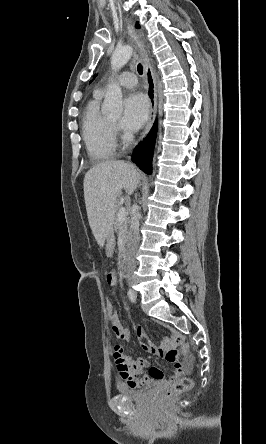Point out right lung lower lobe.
<instances>
[{"mask_svg": "<svg viewBox=\"0 0 266 444\" xmlns=\"http://www.w3.org/2000/svg\"><path fill=\"white\" fill-rule=\"evenodd\" d=\"M156 132L157 122L154 123L150 133L144 139L143 143H140L133 153V162H135L142 171L148 174L151 173V162Z\"/></svg>", "mask_w": 266, "mask_h": 444, "instance_id": "1", "label": "right lung lower lobe"}]
</instances>
